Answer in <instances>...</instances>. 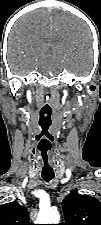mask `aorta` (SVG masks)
Segmentation results:
<instances>
[{"label":"aorta","instance_id":"obj_1","mask_svg":"<svg viewBox=\"0 0 101 225\" xmlns=\"http://www.w3.org/2000/svg\"><path fill=\"white\" fill-rule=\"evenodd\" d=\"M60 215L57 209L49 208L41 211L36 219V224H58Z\"/></svg>","mask_w":101,"mask_h":225}]
</instances>
